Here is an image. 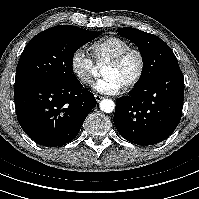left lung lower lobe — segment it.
I'll use <instances>...</instances> for the list:
<instances>
[{"instance_id": "0a47b994", "label": "left lung lower lobe", "mask_w": 199, "mask_h": 199, "mask_svg": "<svg viewBox=\"0 0 199 199\" xmlns=\"http://www.w3.org/2000/svg\"><path fill=\"white\" fill-rule=\"evenodd\" d=\"M184 78L179 66L136 86L116 101L114 124L131 143L153 145L165 140L180 122Z\"/></svg>"}]
</instances>
